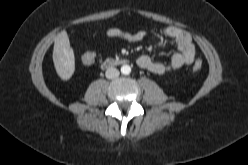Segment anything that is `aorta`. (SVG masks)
Here are the masks:
<instances>
[{"instance_id":"obj_1","label":"aorta","mask_w":248,"mask_h":165,"mask_svg":"<svg viewBox=\"0 0 248 165\" xmlns=\"http://www.w3.org/2000/svg\"><path fill=\"white\" fill-rule=\"evenodd\" d=\"M131 72V67L129 65H123L121 67V73L124 75H128Z\"/></svg>"}]
</instances>
